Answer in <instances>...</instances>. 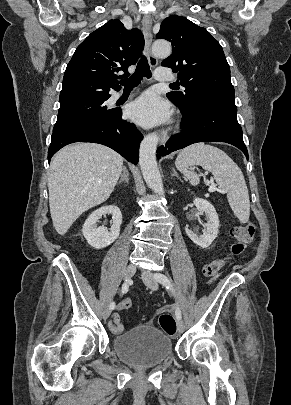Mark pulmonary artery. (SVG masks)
<instances>
[{"label": "pulmonary artery", "mask_w": 291, "mask_h": 405, "mask_svg": "<svg viewBox=\"0 0 291 405\" xmlns=\"http://www.w3.org/2000/svg\"><path fill=\"white\" fill-rule=\"evenodd\" d=\"M155 78L158 81H174L175 75L167 68H158L155 72ZM122 96L121 92L115 93L113 99L117 100Z\"/></svg>", "instance_id": "pulmonary-artery-1"}]
</instances>
